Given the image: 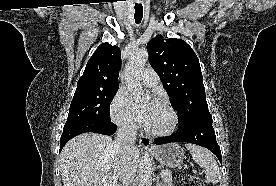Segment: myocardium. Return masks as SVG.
<instances>
[{
  "label": "myocardium",
  "mask_w": 276,
  "mask_h": 186,
  "mask_svg": "<svg viewBox=\"0 0 276 186\" xmlns=\"http://www.w3.org/2000/svg\"><path fill=\"white\" fill-rule=\"evenodd\" d=\"M160 104L162 106H164L171 114L172 116V122H171V125L167 128V129H164V130H151L147 127H145V132L150 135V136H167V135H170L172 134L177 126H178V123H179V117H178V114L176 112V110L170 105V103H168L167 101H161Z\"/></svg>",
  "instance_id": "obj_1"
}]
</instances>
